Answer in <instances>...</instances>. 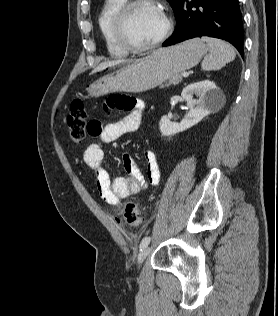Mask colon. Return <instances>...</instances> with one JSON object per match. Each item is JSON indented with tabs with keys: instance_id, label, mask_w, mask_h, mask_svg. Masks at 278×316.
I'll return each instance as SVG.
<instances>
[{
	"instance_id": "1",
	"label": "colon",
	"mask_w": 278,
	"mask_h": 316,
	"mask_svg": "<svg viewBox=\"0 0 278 316\" xmlns=\"http://www.w3.org/2000/svg\"><path fill=\"white\" fill-rule=\"evenodd\" d=\"M67 127L71 142L81 144L87 133L96 135L100 127L98 124L88 122L85 104L81 100H74L71 103L70 111L67 117ZM118 221H124L131 227H136L142 222V215L139 206L135 202H128L123 209L121 217Z\"/></svg>"
}]
</instances>
